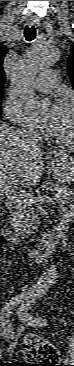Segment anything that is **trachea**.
I'll return each mask as SVG.
<instances>
[{
    "label": "trachea",
    "instance_id": "trachea-1",
    "mask_svg": "<svg viewBox=\"0 0 74 366\" xmlns=\"http://www.w3.org/2000/svg\"><path fill=\"white\" fill-rule=\"evenodd\" d=\"M24 36L28 42H31L36 37V29L34 26H26L24 29Z\"/></svg>",
    "mask_w": 74,
    "mask_h": 366
}]
</instances>
